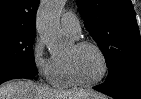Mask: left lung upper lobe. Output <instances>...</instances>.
Masks as SVG:
<instances>
[{
    "mask_svg": "<svg viewBox=\"0 0 141 99\" xmlns=\"http://www.w3.org/2000/svg\"><path fill=\"white\" fill-rule=\"evenodd\" d=\"M84 24L103 52L105 81L141 72V41L131 0H77Z\"/></svg>",
    "mask_w": 141,
    "mask_h": 99,
    "instance_id": "obj_1",
    "label": "left lung upper lobe"
}]
</instances>
